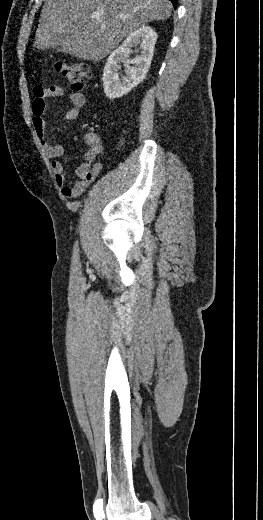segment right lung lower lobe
I'll return each instance as SVG.
<instances>
[{"label":"right lung lower lobe","instance_id":"98d812e1","mask_svg":"<svg viewBox=\"0 0 263 520\" xmlns=\"http://www.w3.org/2000/svg\"><path fill=\"white\" fill-rule=\"evenodd\" d=\"M170 1L172 2L174 8H176L177 7V0H170Z\"/></svg>","mask_w":263,"mask_h":520}]
</instances>
